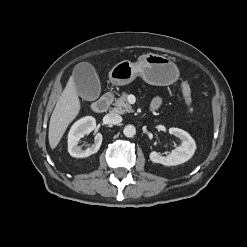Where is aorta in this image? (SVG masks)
<instances>
[{"mask_svg": "<svg viewBox=\"0 0 247 247\" xmlns=\"http://www.w3.org/2000/svg\"><path fill=\"white\" fill-rule=\"evenodd\" d=\"M123 133L126 137H133L136 134V128L133 125H126Z\"/></svg>", "mask_w": 247, "mask_h": 247, "instance_id": "obj_1", "label": "aorta"}]
</instances>
